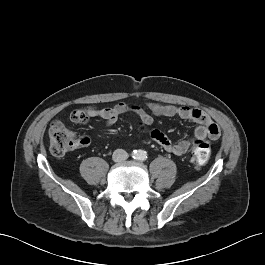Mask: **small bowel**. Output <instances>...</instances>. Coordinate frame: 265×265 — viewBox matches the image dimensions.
Wrapping results in <instances>:
<instances>
[{
  "label": "small bowel",
  "mask_w": 265,
  "mask_h": 265,
  "mask_svg": "<svg viewBox=\"0 0 265 265\" xmlns=\"http://www.w3.org/2000/svg\"><path fill=\"white\" fill-rule=\"evenodd\" d=\"M147 109L148 111L136 104L124 102L106 108L89 106L72 111L70 119L76 124H85L90 118L101 117L105 121L106 126L110 127L118 121L121 115L132 113L138 117V121L136 122L137 127L142 128L144 125H149L153 122V116L180 117L198 124L195 129L196 138L202 139L207 137L215 140L220 135L218 125L202 110L188 106L178 107L158 102H148ZM150 137L165 151L176 156L187 153L192 144L191 140L173 142L166 134L159 130H152ZM89 142L90 140L87 137L81 139L83 145H88Z\"/></svg>",
  "instance_id": "obj_1"
}]
</instances>
